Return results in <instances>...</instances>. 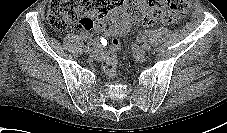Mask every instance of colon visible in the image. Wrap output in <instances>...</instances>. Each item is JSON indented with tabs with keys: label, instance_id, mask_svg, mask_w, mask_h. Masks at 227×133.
Wrapping results in <instances>:
<instances>
[{
	"label": "colon",
	"instance_id": "5ec220e1",
	"mask_svg": "<svg viewBox=\"0 0 227 133\" xmlns=\"http://www.w3.org/2000/svg\"><path fill=\"white\" fill-rule=\"evenodd\" d=\"M121 3L122 0H50L48 21L57 31H64L71 26L79 31L90 30L94 27L91 16L98 20L103 19ZM193 5V0H149L146 9L136 0H132L129 12L135 23L148 26L166 15L183 16L192 10ZM120 48V40L114 39L103 62V69L109 76L116 72Z\"/></svg>",
	"mask_w": 227,
	"mask_h": 133
}]
</instances>
